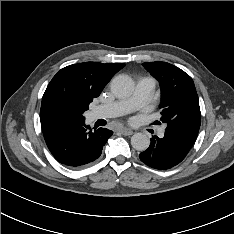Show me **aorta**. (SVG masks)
I'll return each mask as SVG.
<instances>
[{"instance_id":"obj_1","label":"aorta","mask_w":234,"mask_h":234,"mask_svg":"<svg viewBox=\"0 0 234 234\" xmlns=\"http://www.w3.org/2000/svg\"><path fill=\"white\" fill-rule=\"evenodd\" d=\"M111 91L117 98H127L134 91V82L129 76L119 75L112 80ZM131 145L138 151H145L150 145V140L143 133H135L131 137Z\"/></svg>"}]
</instances>
